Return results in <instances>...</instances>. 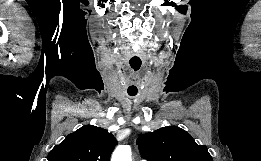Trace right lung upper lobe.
<instances>
[{"instance_id":"right-lung-upper-lobe-1","label":"right lung upper lobe","mask_w":261,"mask_h":161,"mask_svg":"<svg viewBox=\"0 0 261 161\" xmlns=\"http://www.w3.org/2000/svg\"><path fill=\"white\" fill-rule=\"evenodd\" d=\"M116 145L115 137L107 130L84 125L56 145L48 161H109Z\"/></svg>"}]
</instances>
